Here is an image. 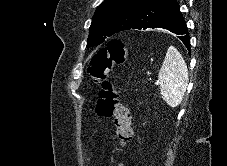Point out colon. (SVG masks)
<instances>
[{
  "instance_id": "obj_1",
  "label": "colon",
  "mask_w": 227,
  "mask_h": 166,
  "mask_svg": "<svg viewBox=\"0 0 227 166\" xmlns=\"http://www.w3.org/2000/svg\"><path fill=\"white\" fill-rule=\"evenodd\" d=\"M130 60L124 43L118 39L110 40L105 48L98 50L92 57L89 74L95 83L102 84L96 113L112 118L119 145H126L132 135V118L129 109L120 101V91L113 82L107 80L112 67ZM113 166H122L116 163Z\"/></svg>"
}]
</instances>
